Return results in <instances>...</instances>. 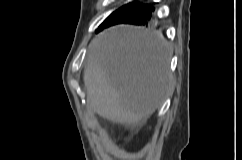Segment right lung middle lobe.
I'll list each match as a JSON object with an SVG mask.
<instances>
[{
	"mask_svg": "<svg viewBox=\"0 0 242 160\" xmlns=\"http://www.w3.org/2000/svg\"><path fill=\"white\" fill-rule=\"evenodd\" d=\"M140 7H142V4H140V3H134V2L122 6L121 8H119L118 10H116L115 12H113L99 26V28L96 30V33H98L99 31L103 30L104 28H107L109 26H112V25L117 24L118 22L124 20L126 17H128L131 13H133L134 11H136L137 9H139Z\"/></svg>",
	"mask_w": 242,
	"mask_h": 160,
	"instance_id": "1",
	"label": "right lung middle lobe"
}]
</instances>
